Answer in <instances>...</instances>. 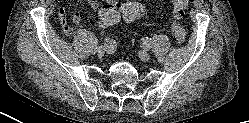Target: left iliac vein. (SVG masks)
<instances>
[{
	"label": "left iliac vein",
	"instance_id": "4c4485c4",
	"mask_svg": "<svg viewBox=\"0 0 249 123\" xmlns=\"http://www.w3.org/2000/svg\"><path fill=\"white\" fill-rule=\"evenodd\" d=\"M139 57L142 61H145V62L150 60V55L144 50L139 52Z\"/></svg>",
	"mask_w": 249,
	"mask_h": 123
}]
</instances>
